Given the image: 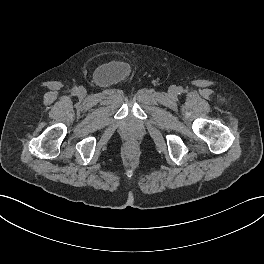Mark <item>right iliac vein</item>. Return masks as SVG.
<instances>
[{"mask_svg": "<svg viewBox=\"0 0 264 264\" xmlns=\"http://www.w3.org/2000/svg\"><path fill=\"white\" fill-rule=\"evenodd\" d=\"M79 92H80L81 94H83V93H84V89H80Z\"/></svg>", "mask_w": 264, "mask_h": 264, "instance_id": "right-iliac-vein-1", "label": "right iliac vein"}]
</instances>
